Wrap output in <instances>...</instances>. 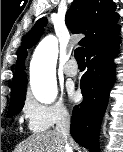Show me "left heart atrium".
<instances>
[{
  "mask_svg": "<svg viewBox=\"0 0 123 152\" xmlns=\"http://www.w3.org/2000/svg\"><path fill=\"white\" fill-rule=\"evenodd\" d=\"M68 93H69L70 98H71L72 100H74V101H76V100L78 99V97H79L78 92L74 89L73 86H70V87L68 88Z\"/></svg>",
  "mask_w": 123,
  "mask_h": 152,
  "instance_id": "obj_1",
  "label": "left heart atrium"
}]
</instances>
